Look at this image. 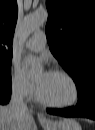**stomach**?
Masks as SVG:
<instances>
[{
  "mask_svg": "<svg viewBox=\"0 0 95 130\" xmlns=\"http://www.w3.org/2000/svg\"><path fill=\"white\" fill-rule=\"evenodd\" d=\"M42 126L44 130H82L80 124L73 118L51 120L43 123Z\"/></svg>",
  "mask_w": 95,
  "mask_h": 130,
  "instance_id": "0dacf381",
  "label": "stomach"
}]
</instances>
